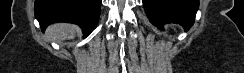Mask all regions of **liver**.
<instances>
[{
    "instance_id": "liver-1",
    "label": "liver",
    "mask_w": 244,
    "mask_h": 73,
    "mask_svg": "<svg viewBox=\"0 0 244 73\" xmlns=\"http://www.w3.org/2000/svg\"><path fill=\"white\" fill-rule=\"evenodd\" d=\"M77 27L71 24L59 23L49 28V33L57 39L73 38L77 32Z\"/></svg>"
}]
</instances>
